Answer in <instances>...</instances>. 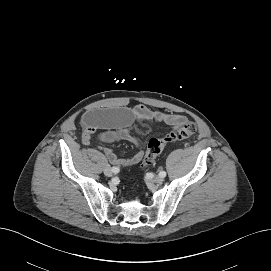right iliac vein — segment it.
<instances>
[{
    "label": "right iliac vein",
    "mask_w": 271,
    "mask_h": 271,
    "mask_svg": "<svg viewBox=\"0 0 271 271\" xmlns=\"http://www.w3.org/2000/svg\"><path fill=\"white\" fill-rule=\"evenodd\" d=\"M104 174H105L106 176L110 177V176L113 175V172H112L111 168L106 167V168L104 169Z\"/></svg>",
    "instance_id": "obj_1"
}]
</instances>
